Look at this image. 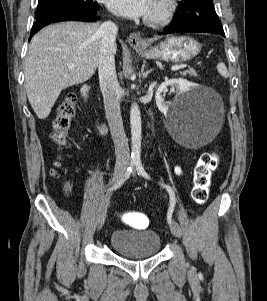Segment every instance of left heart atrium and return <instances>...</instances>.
I'll list each match as a JSON object with an SVG mask.
<instances>
[{"mask_svg": "<svg viewBox=\"0 0 267 301\" xmlns=\"http://www.w3.org/2000/svg\"><path fill=\"white\" fill-rule=\"evenodd\" d=\"M153 0H107V6L114 14L126 18L148 16Z\"/></svg>", "mask_w": 267, "mask_h": 301, "instance_id": "39dd6f15", "label": "left heart atrium"}]
</instances>
